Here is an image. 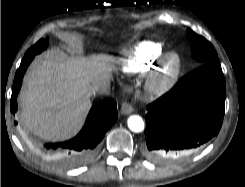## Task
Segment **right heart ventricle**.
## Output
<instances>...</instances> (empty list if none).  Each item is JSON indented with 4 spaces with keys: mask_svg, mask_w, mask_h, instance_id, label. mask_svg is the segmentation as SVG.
Segmentation results:
<instances>
[{
    "mask_svg": "<svg viewBox=\"0 0 245 187\" xmlns=\"http://www.w3.org/2000/svg\"><path fill=\"white\" fill-rule=\"evenodd\" d=\"M161 52V44L153 41H142L122 61V69L127 74H139L147 71L156 62Z\"/></svg>",
    "mask_w": 245,
    "mask_h": 187,
    "instance_id": "1",
    "label": "right heart ventricle"
}]
</instances>
